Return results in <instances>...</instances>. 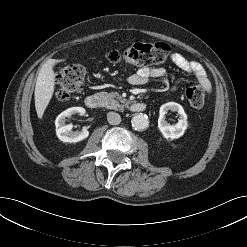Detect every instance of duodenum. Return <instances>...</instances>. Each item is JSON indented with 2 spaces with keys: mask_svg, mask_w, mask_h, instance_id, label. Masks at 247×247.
I'll return each mask as SVG.
<instances>
[{
  "mask_svg": "<svg viewBox=\"0 0 247 247\" xmlns=\"http://www.w3.org/2000/svg\"><path fill=\"white\" fill-rule=\"evenodd\" d=\"M85 104L90 109H98L101 107L102 102L97 95L91 94L86 97ZM145 109H146V104L143 102H134L131 105V110L133 112H142Z\"/></svg>",
  "mask_w": 247,
  "mask_h": 247,
  "instance_id": "1",
  "label": "duodenum"
}]
</instances>
